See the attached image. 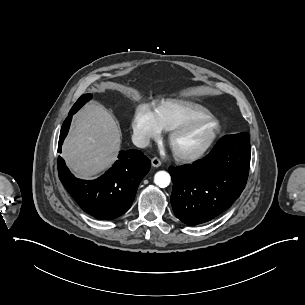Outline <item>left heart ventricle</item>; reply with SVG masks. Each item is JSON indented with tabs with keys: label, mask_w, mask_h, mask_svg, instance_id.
I'll use <instances>...</instances> for the list:
<instances>
[{
	"label": "left heart ventricle",
	"mask_w": 305,
	"mask_h": 305,
	"mask_svg": "<svg viewBox=\"0 0 305 305\" xmlns=\"http://www.w3.org/2000/svg\"><path fill=\"white\" fill-rule=\"evenodd\" d=\"M216 126L213 121H204L190 127L180 141L184 148H196L204 145L211 137Z\"/></svg>",
	"instance_id": "b2bd125f"
}]
</instances>
